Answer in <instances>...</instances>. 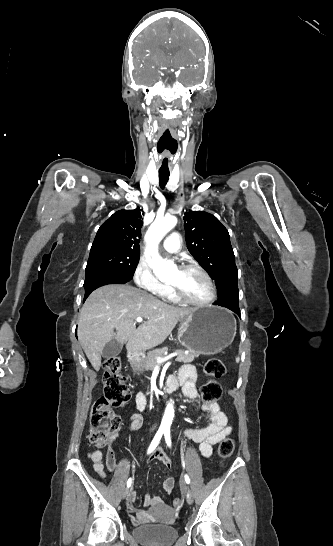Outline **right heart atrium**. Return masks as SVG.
Wrapping results in <instances>:
<instances>
[{"instance_id": "right-heart-atrium-1", "label": "right heart atrium", "mask_w": 333, "mask_h": 546, "mask_svg": "<svg viewBox=\"0 0 333 546\" xmlns=\"http://www.w3.org/2000/svg\"><path fill=\"white\" fill-rule=\"evenodd\" d=\"M136 285L156 296H164L169 287L158 280L152 267L141 260L133 275Z\"/></svg>"}]
</instances>
